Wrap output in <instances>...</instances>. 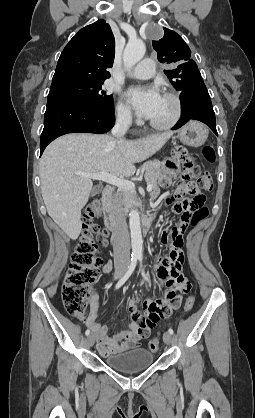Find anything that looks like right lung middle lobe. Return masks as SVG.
<instances>
[{"label": "right lung middle lobe", "instance_id": "obj_1", "mask_svg": "<svg viewBox=\"0 0 255 418\" xmlns=\"http://www.w3.org/2000/svg\"><path fill=\"white\" fill-rule=\"evenodd\" d=\"M104 82L74 81L52 85L48 100L73 99L84 102L103 113H113V97L102 90Z\"/></svg>", "mask_w": 255, "mask_h": 418}]
</instances>
